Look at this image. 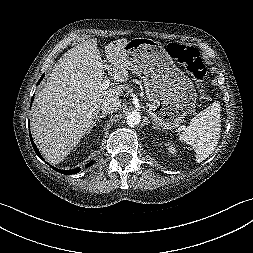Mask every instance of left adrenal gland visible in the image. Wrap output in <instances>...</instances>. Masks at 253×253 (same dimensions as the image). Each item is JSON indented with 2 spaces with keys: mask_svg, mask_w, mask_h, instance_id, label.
I'll list each match as a JSON object with an SVG mask.
<instances>
[{
  "mask_svg": "<svg viewBox=\"0 0 253 253\" xmlns=\"http://www.w3.org/2000/svg\"><path fill=\"white\" fill-rule=\"evenodd\" d=\"M154 129H158V130H162L161 128H159L158 126H154Z\"/></svg>",
  "mask_w": 253,
  "mask_h": 253,
  "instance_id": "1",
  "label": "left adrenal gland"
}]
</instances>
